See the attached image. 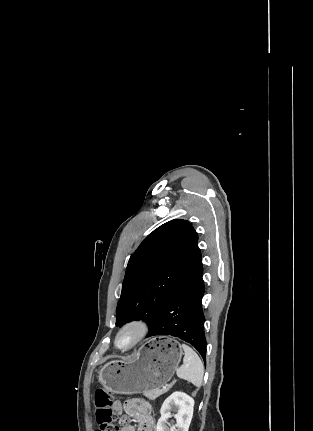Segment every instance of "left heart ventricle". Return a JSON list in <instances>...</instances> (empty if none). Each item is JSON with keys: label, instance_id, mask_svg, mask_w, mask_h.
<instances>
[{"label": "left heart ventricle", "instance_id": "1", "mask_svg": "<svg viewBox=\"0 0 313 431\" xmlns=\"http://www.w3.org/2000/svg\"><path fill=\"white\" fill-rule=\"evenodd\" d=\"M135 336H136V331L133 329H129V330L123 332L118 339V345L120 347L128 346L130 343H132Z\"/></svg>", "mask_w": 313, "mask_h": 431}]
</instances>
